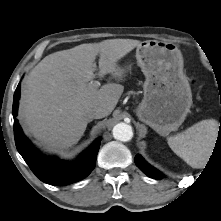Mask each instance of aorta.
<instances>
[{"instance_id": "obj_1", "label": "aorta", "mask_w": 221, "mask_h": 221, "mask_svg": "<svg viewBox=\"0 0 221 221\" xmlns=\"http://www.w3.org/2000/svg\"><path fill=\"white\" fill-rule=\"evenodd\" d=\"M113 136L119 141H129L133 137L132 127L129 124L120 122L113 127Z\"/></svg>"}]
</instances>
